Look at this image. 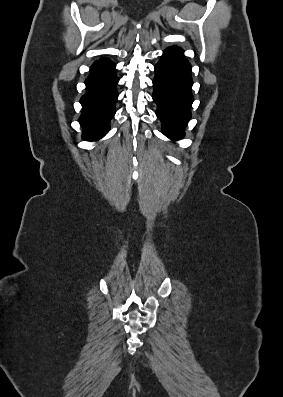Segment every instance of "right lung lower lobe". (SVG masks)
<instances>
[{
    "label": "right lung lower lobe",
    "instance_id": "right-lung-lower-lobe-1",
    "mask_svg": "<svg viewBox=\"0 0 283 397\" xmlns=\"http://www.w3.org/2000/svg\"><path fill=\"white\" fill-rule=\"evenodd\" d=\"M115 64L109 59L96 61L85 80L86 94L80 99L82 113L78 119L83 128L82 138L98 141L110 130V120L115 115L118 77Z\"/></svg>",
    "mask_w": 283,
    "mask_h": 397
}]
</instances>
